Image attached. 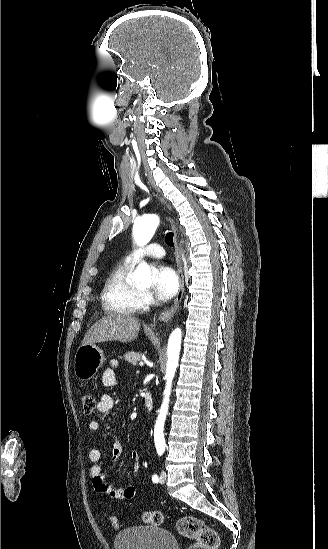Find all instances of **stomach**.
Returning a JSON list of instances; mask_svg holds the SVG:
<instances>
[{
    "label": "stomach",
    "mask_w": 328,
    "mask_h": 549,
    "mask_svg": "<svg viewBox=\"0 0 328 549\" xmlns=\"http://www.w3.org/2000/svg\"><path fill=\"white\" fill-rule=\"evenodd\" d=\"M105 361L102 349L97 345H81L75 353L74 373L80 381H90Z\"/></svg>",
    "instance_id": "obj_1"
}]
</instances>
